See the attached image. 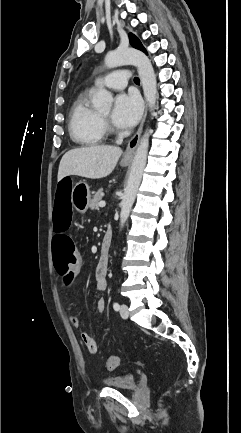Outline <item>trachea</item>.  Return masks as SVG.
I'll use <instances>...</instances> for the list:
<instances>
[{"instance_id":"trachea-1","label":"trachea","mask_w":241,"mask_h":433,"mask_svg":"<svg viewBox=\"0 0 241 433\" xmlns=\"http://www.w3.org/2000/svg\"><path fill=\"white\" fill-rule=\"evenodd\" d=\"M134 82L137 83V84H139V83H140L139 78H138V77H135V78H134Z\"/></svg>"}]
</instances>
